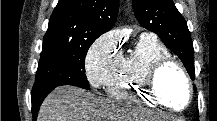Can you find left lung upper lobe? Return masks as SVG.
Wrapping results in <instances>:
<instances>
[{
  "label": "left lung upper lobe",
  "mask_w": 217,
  "mask_h": 121,
  "mask_svg": "<svg viewBox=\"0 0 217 121\" xmlns=\"http://www.w3.org/2000/svg\"><path fill=\"white\" fill-rule=\"evenodd\" d=\"M140 25L154 33L183 62L195 79L194 49L187 23L172 0H132ZM196 90V89H195Z\"/></svg>",
  "instance_id": "left-lung-upper-lobe-1"
}]
</instances>
